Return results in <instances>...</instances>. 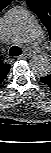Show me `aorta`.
I'll use <instances>...</instances> for the list:
<instances>
[{"label":"aorta","mask_w":51,"mask_h":153,"mask_svg":"<svg viewBox=\"0 0 51 153\" xmlns=\"http://www.w3.org/2000/svg\"><path fill=\"white\" fill-rule=\"evenodd\" d=\"M4 30L11 39L21 43L35 42L41 35L37 20L22 8H13L6 14ZM30 67L35 75L45 77L51 73V60L47 55H34Z\"/></svg>","instance_id":"aorta-1"}]
</instances>
